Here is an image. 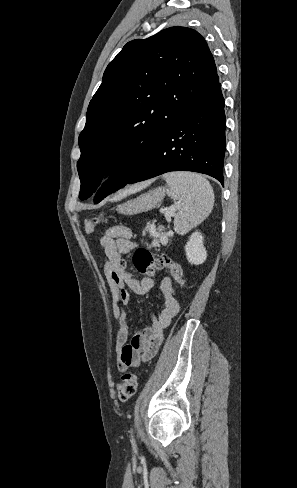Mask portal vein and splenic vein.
<instances>
[{
	"label": "portal vein and splenic vein",
	"mask_w": 297,
	"mask_h": 488,
	"mask_svg": "<svg viewBox=\"0 0 297 488\" xmlns=\"http://www.w3.org/2000/svg\"><path fill=\"white\" fill-rule=\"evenodd\" d=\"M175 209H176V206L174 205V206H171V207L166 208L165 210H163V213L165 214V217L166 218H170L173 215Z\"/></svg>",
	"instance_id": "18ae733b"
}]
</instances>
